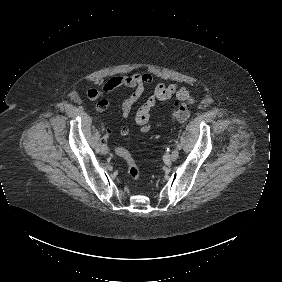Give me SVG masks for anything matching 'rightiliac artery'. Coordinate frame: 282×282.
Wrapping results in <instances>:
<instances>
[{"mask_svg": "<svg viewBox=\"0 0 282 282\" xmlns=\"http://www.w3.org/2000/svg\"><path fill=\"white\" fill-rule=\"evenodd\" d=\"M102 131H104V128L102 129ZM97 151H99V149H97Z\"/></svg>", "mask_w": 282, "mask_h": 282, "instance_id": "1", "label": "right iliac artery"}]
</instances>
